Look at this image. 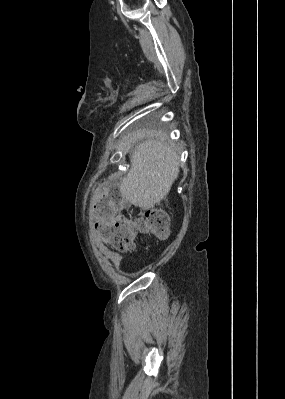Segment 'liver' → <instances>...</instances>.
<instances>
[{
    "label": "liver",
    "instance_id": "6515ba94",
    "mask_svg": "<svg viewBox=\"0 0 285 399\" xmlns=\"http://www.w3.org/2000/svg\"><path fill=\"white\" fill-rule=\"evenodd\" d=\"M130 158L131 168L121 180L120 191L134 206L152 208L168 195L179 175V153L162 137L151 134Z\"/></svg>",
    "mask_w": 285,
    "mask_h": 399
}]
</instances>
